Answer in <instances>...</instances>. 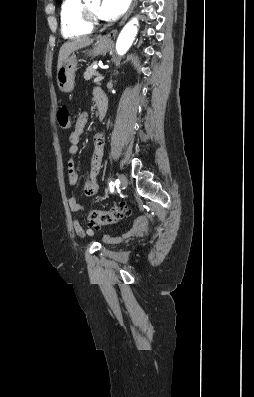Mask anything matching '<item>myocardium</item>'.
I'll return each mask as SVG.
<instances>
[{"label": "myocardium", "instance_id": "myocardium-1", "mask_svg": "<svg viewBox=\"0 0 254 397\" xmlns=\"http://www.w3.org/2000/svg\"><path fill=\"white\" fill-rule=\"evenodd\" d=\"M83 14H84V20L89 27L95 28L102 24L99 15L96 14L94 11H92L88 5L84 4Z\"/></svg>", "mask_w": 254, "mask_h": 397}]
</instances>
